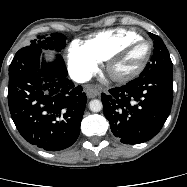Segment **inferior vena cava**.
I'll list each match as a JSON object with an SVG mask.
<instances>
[{
	"instance_id": "inferior-vena-cava-1",
	"label": "inferior vena cava",
	"mask_w": 187,
	"mask_h": 187,
	"mask_svg": "<svg viewBox=\"0 0 187 187\" xmlns=\"http://www.w3.org/2000/svg\"><path fill=\"white\" fill-rule=\"evenodd\" d=\"M69 75L71 79L77 83H84L91 79V74L80 70H73Z\"/></svg>"
}]
</instances>
